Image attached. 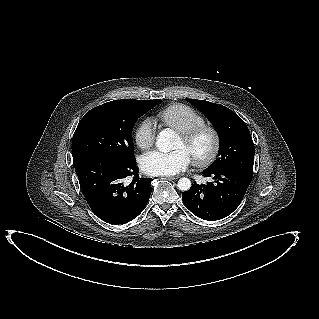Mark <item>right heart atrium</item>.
<instances>
[{"instance_id":"1","label":"right heart atrium","mask_w":319,"mask_h":319,"mask_svg":"<svg viewBox=\"0 0 319 319\" xmlns=\"http://www.w3.org/2000/svg\"><path fill=\"white\" fill-rule=\"evenodd\" d=\"M134 140L137 146L142 150L152 147L155 141V130L151 120H142L135 128Z\"/></svg>"}]
</instances>
